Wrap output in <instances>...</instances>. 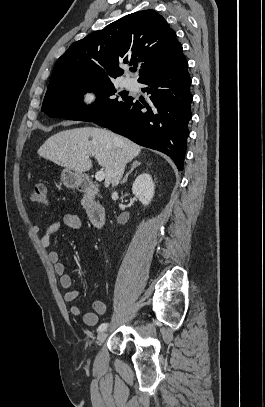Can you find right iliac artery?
<instances>
[{"mask_svg": "<svg viewBox=\"0 0 265 407\" xmlns=\"http://www.w3.org/2000/svg\"><path fill=\"white\" fill-rule=\"evenodd\" d=\"M108 324L107 323H103L98 327V331H103L107 328Z\"/></svg>", "mask_w": 265, "mask_h": 407, "instance_id": "1", "label": "right iliac artery"}]
</instances>
